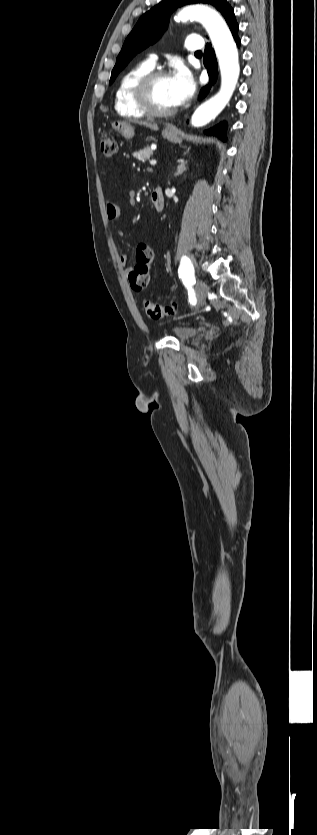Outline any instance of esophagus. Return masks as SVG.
Listing matches in <instances>:
<instances>
[{"label": "esophagus", "mask_w": 317, "mask_h": 835, "mask_svg": "<svg viewBox=\"0 0 317 835\" xmlns=\"http://www.w3.org/2000/svg\"><path fill=\"white\" fill-rule=\"evenodd\" d=\"M167 129L170 130V131H176L177 130L176 126H168Z\"/></svg>", "instance_id": "1"}]
</instances>
